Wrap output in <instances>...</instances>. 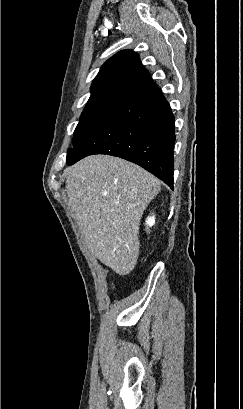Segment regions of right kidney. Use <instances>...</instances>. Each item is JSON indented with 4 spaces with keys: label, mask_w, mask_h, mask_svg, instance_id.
Segmentation results:
<instances>
[{
    "label": "right kidney",
    "mask_w": 243,
    "mask_h": 409,
    "mask_svg": "<svg viewBox=\"0 0 243 409\" xmlns=\"http://www.w3.org/2000/svg\"><path fill=\"white\" fill-rule=\"evenodd\" d=\"M154 223H155V217L154 216H150V217L147 218V220H146L147 226L151 227V226L154 225Z\"/></svg>",
    "instance_id": "obj_1"
}]
</instances>
